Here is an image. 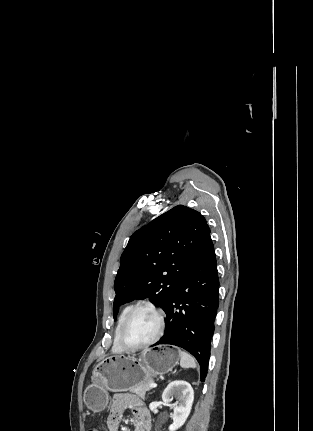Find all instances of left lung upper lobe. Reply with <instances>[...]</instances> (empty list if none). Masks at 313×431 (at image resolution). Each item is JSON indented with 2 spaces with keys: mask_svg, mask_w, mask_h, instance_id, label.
Wrapping results in <instances>:
<instances>
[{
  "mask_svg": "<svg viewBox=\"0 0 313 431\" xmlns=\"http://www.w3.org/2000/svg\"><path fill=\"white\" fill-rule=\"evenodd\" d=\"M210 239L196 210L178 205L137 230L121 255L113 316L134 299L149 298L166 309Z\"/></svg>",
  "mask_w": 313,
  "mask_h": 431,
  "instance_id": "1",
  "label": "left lung upper lobe"
}]
</instances>
